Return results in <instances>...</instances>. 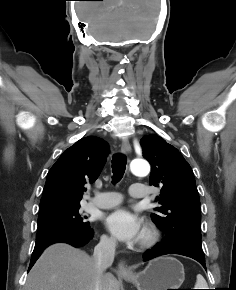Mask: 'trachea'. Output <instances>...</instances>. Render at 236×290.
<instances>
[{
	"mask_svg": "<svg viewBox=\"0 0 236 290\" xmlns=\"http://www.w3.org/2000/svg\"><path fill=\"white\" fill-rule=\"evenodd\" d=\"M126 169V157L122 154H116L112 158V172H113V183L119 182Z\"/></svg>",
	"mask_w": 236,
	"mask_h": 290,
	"instance_id": "1",
	"label": "trachea"
}]
</instances>
